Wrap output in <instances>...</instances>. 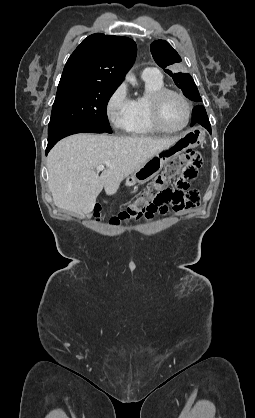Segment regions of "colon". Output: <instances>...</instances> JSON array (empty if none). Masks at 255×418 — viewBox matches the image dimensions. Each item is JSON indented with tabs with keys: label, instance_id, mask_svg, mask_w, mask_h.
<instances>
[{
	"label": "colon",
	"instance_id": "colon-1",
	"mask_svg": "<svg viewBox=\"0 0 255 418\" xmlns=\"http://www.w3.org/2000/svg\"><path fill=\"white\" fill-rule=\"evenodd\" d=\"M202 161V154L198 150L189 151L171 161L162 175L150 183L140 197L125 211L110 219V224L118 226L123 222L137 221L143 217L151 219L156 214H165L169 205L175 211L198 205L199 193L190 188V183L197 179ZM172 178H176V189L165 186ZM95 214L99 217L100 207H96Z\"/></svg>",
	"mask_w": 255,
	"mask_h": 418
}]
</instances>
